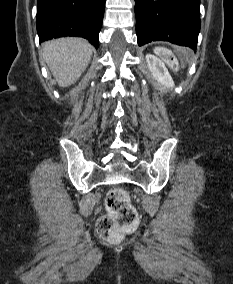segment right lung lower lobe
<instances>
[{"mask_svg":"<svg viewBox=\"0 0 233 284\" xmlns=\"http://www.w3.org/2000/svg\"><path fill=\"white\" fill-rule=\"evenodd\" d=\"M104 9L105 0H38L39 41L79 36L98 48Z\"/></svg>","mask_w":233,"mask_h":284,"instance_id":"obj_1","label":"right lung lower lobe"}]
</instances>
